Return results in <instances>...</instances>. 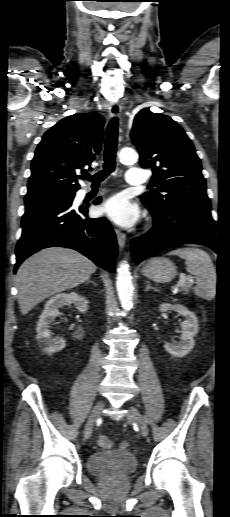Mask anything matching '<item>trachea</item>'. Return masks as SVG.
Here are the masks:
<instances>
[{
	"instance_id": "trachea-1",
	"label": "trachea",
	"mask_w": 230,
	"mask_h": 517,
	"mask_svg": "<svg viewBox=\"0 0 230 517\" xmlns=\"http://www.w3.org/2000/svg\"><path fill=\"white\" fill-rule=\"evenodd\" d=\"M117 138L118 118L113 117L106 129L103 170L93 176L89 173H83L82 179L89 180L92 182V185H99L111 172H114L117 151Z\"/></svg>"
}]
</instances>
